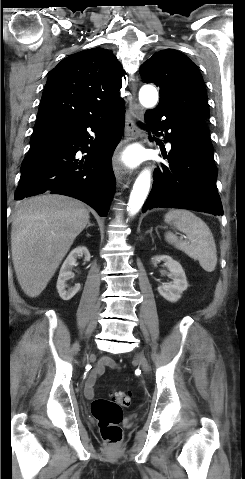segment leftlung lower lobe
Segmentation results:
<instances>
[{
    "label": "left lung lower lobe",
    "instance_id": "left-lung-lower-lobe-1",
    "mask_svg": "<svg viewBox=\"0 0 245 479\" xmlns=\"http://www.w3.org/2000/svg\"><path fill=\"white\" fill-rule=\"evenodd\" d=\"M162 117H166L161 121ZM146 127L165 130V142L171 143L168 164L155 169L152 190L142 212L152 208H181L223 215L216 188L217 167L206 121L194 117H172L164 110L145 113ZM157 143L159 140L155 138Z\"/></svg>",
    "mask_w": 245,
    "mask_h": 479
}]
</instances>
